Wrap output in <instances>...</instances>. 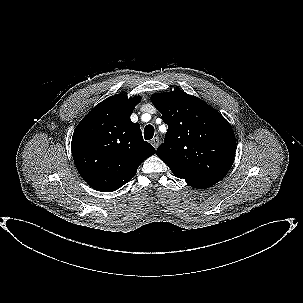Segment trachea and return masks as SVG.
I'll return each mask as SVG.
<instances>
[{
	"label": "trachea",
	"mask_w": 303,
	"mask_h": 303,
	"mask_svg": "<svg viewBox=\"0 0 303 303\" xmlns=\"http://www.w3.org/2000/svg\"><path fill=\"white\" fill-rule=\"evenodd\" d=\"M154 136V127L152 125H147L144 128V138L146 140H151Z\"/></svg>",
	"instance_id": "trachea-1"
}]
</instances>
